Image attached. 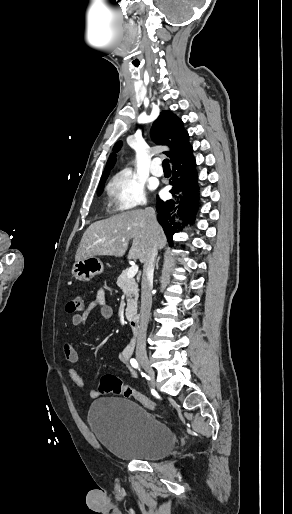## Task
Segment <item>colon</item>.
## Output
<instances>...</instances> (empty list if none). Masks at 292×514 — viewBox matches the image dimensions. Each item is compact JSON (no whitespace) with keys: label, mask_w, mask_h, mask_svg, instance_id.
Returning a JSON list of instances; mask_svg holds the SVG:
<instances>
[{"label":"colon","mask_w":292,"mask_h":514,"mask_svg":"<svg viewBox=\"0 0 292 514\" xmlns=\"http://www.w3.org/2000/svg\"><path fill=\"white\" fill-rule=\"evenodd\" d=\"M84 299L81 295L74 296L66 305L68 313H77L83 310ZM99 388L102 393L113 394L115 396L123 395L124 397L133 396L134 400L145 408L160 411L159 405L151 398L134 391L132 384H125L120 378L113 374H105L99 380Z\"/></svg>","instance_id":"colon-1"}]
</instances>
